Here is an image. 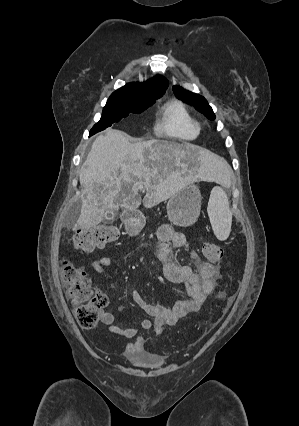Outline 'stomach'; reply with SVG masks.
I'll return each instance as SVG.
<instances>
[{
	"mask_svg": "<svg viewBox=\"0 0 299 426\" xmlns=\"http://www.w3.org/2000/svg\"><path fill=\"white\" fill-rule=\"evenodd\" d=\"M201 201V192L197 186L190 184L180 188L167 203L170 221L182 227L194 224L200 215ZM132 229H134L133 226Z\"/></svg>",
	"mask_w": 299,
	"mask_h": 426,
	"instance_id": "stomach-1",
	"label": "stomach"
}]
</instances>
